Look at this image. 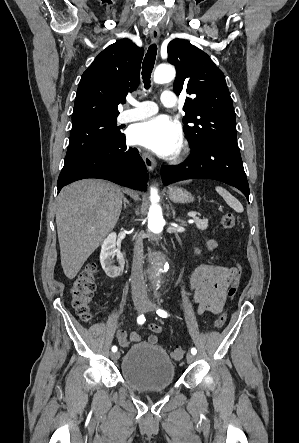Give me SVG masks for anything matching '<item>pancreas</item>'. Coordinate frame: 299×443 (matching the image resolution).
I'll use <instances>...</instances> for the list:
<instances>
[{"mask_svg": "<svg viewBox=\"0 0 299 443\" xmlns=\"http://www.w3.org/2000/svg\"><path fill=\"white\" fill-rule=\"evenodd\" d=\"M194 222L199 230H206L208 227V219L194 218Z\"/></svg>", "mask_w": 299, "mask_h": 443, "instance_id": "pancreas-1", "label": "pancreas"}]
</instances>
